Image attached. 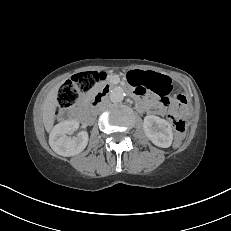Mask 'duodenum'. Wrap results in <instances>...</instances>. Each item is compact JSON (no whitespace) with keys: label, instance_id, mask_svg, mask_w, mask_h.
<instances>
[{"label":"duodenum","instance_id":"duodenum-1","mask_svg":"<svg viewBox=\"0 0 231 231\" xmlns=\"http://www.w3.org/2000/svg\"><path fill=\"white\" fill-rule=\"evenodd\" d=\"M109 90H110V85L109 84H105V85H103V87L101 88V90L99 92H97L93 96V98L89 102V109L91 111H93L95 109V107L103 100V98L106 96V94L109 92ZM128 92H130L134 96L140 98L139 97L140 94H138L136 91H134V90H128ZM141 103L146 108L145 102L142 101Z\"/></svg>","mask_w":231,"mask_h":231}]
</instances>
